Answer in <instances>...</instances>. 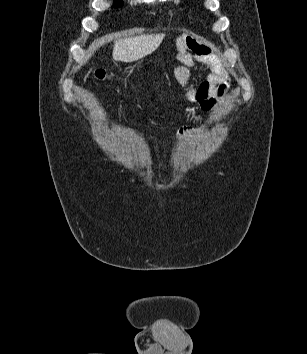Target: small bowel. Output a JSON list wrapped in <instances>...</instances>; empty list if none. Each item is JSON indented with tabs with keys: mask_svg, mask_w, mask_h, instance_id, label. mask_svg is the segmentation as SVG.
<instances>
[{
	"mask_svg": "<svg viewBox=\"0 0 307 354\" xmlns=\"http://www.w3.org/2000/svg\"><path fill=\"white\" fill-rule=\"evenodd\" d=\"M177 59L180 65L174 68L173 75L184 97L190 102H198L203 108L208 109L214 102L210 91L213 86L222 82L225 79V71L219 58L214 54L211 48L195 39L184 38L178 42L177 45ZM203 65L209 69V74L206 76L204 82L196 87L191 82L190 68L195 65ZM217 94L221 95L224 91L225 85L218 84ZM192 133L190 127L180 128L178 134L181 137H189Z\"/></svg>",
	"mask_w": 307,
	"mask_h": 354,
	"instance_id": "small-bowel-1",
	"label": "small bowel"
}]
</instances>
